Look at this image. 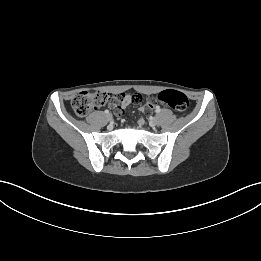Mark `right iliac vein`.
I'll list each match as a JSON object with an SVG mask.
<instances>
[{
    "instance_id": "1",
    "label": "right iliac vein",
    "mask_w": 261,
    "mask_h": 261,
    "mask_svg": "<svg viewBox=\"0 0 261 261\" xmlns=\"http://www.w3.org/2000/svg\"><path fill=\"white\" fill-rule=\"evenodd\" d=\"M106 118H107L108 121H111V120H112V115H111L110 113H108V114L106 115Z\"/></svg>"
}]
</instances>
